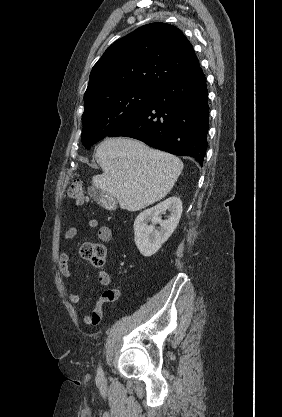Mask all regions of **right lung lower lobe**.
<instances>
[{
    "mask_svg": "<svg viewBox=\"0 0 282 417\" xmlns=\"http://www.w3.org/2000/svg\"><path fill=\"white\" fill-rule=\"evenodd\" d=\"M209 106L206 78L199 67L159 87L149 103L108 136L138 139L203 166Z\"/></svg>",
    "mask_w": 282,
    "mask_h": 417,
    "instance_id": "right-lung-lower-lobe-1",
    "label": "right lung lower lobe"
}]
</instances>
